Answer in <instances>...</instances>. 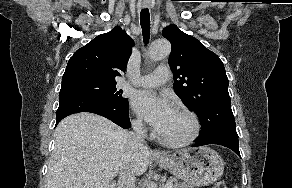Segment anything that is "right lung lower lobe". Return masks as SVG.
<instances>
[{
    "instance_id": "98d812e1",
    "label": "right lung lower lobe",
    "mask_w": 292,
    "mask_h": 188,
    "mask_svg": "<svg viewBox=\"0 0 292 188\" xmlns=\"http://www.w3.org/2000/svg\"><path fill=\"white\" fill-rule=\"evenodd\" d=\"M59 102L56 125L68 115L79 112H91L108 118L122 128L131 127L128 116V103L121 107L107 106L89 96L78 93L59 95Z\"/></svg>"
}]
</instances>
